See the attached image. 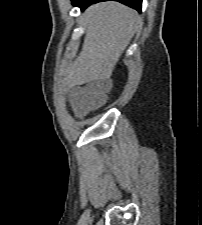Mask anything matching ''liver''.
<instances>
[{
	"label": "liver",
	"instance_id": "liver-1",
	"mask_svg": "<svg viewBox=\"0 0 202 225\" xmlns=\"http://www.w3.org/2000/svg\"><path fill=\"white\" fill-rule=\"evenodd\" d=\"M83 16L86 34L80 54L64 73L68 85L109 79L141 23L133 9L113 1L90 6Z\"/></svg>",
	"mask_w": 202,
	"mask_h": 225
}]
</instances>
